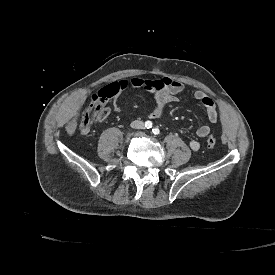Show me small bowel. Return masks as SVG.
Listing matches in <instances>:
<instances>
[{
  "label": "small bowel",
  "instance_id": "obj_1",
  "mask_svg": "<svg viewBox=\"0 0 275 275\" xmlns=\"http://www.w3.org/2000/svg\"><path fill=\"white\" fill-rule=\"evenodd\" d=\"M113 84L119 85L121 88L120 91L123 90L128 85H130L132 88H136V89L141 88L150 92L153 95L154 101H155V104L150 112V116L153 118L160 117L163 114L165 106L167 104L177 102L179 99L178 95L184 90V85L181 82L170 79L168 77H164L158 81L142 80L139 78H134L129 83L125 80H122L119 82L108 84L104 86L98 92V94L106 91ZM97 95L94 96V99L97 97ZM193 97L197 101H199L205 108L208 121L210 123H216L219 118V113H218V108L214 99L209 95H207L202 90L194 91ZM113 109L115 111H120V106L116 100H114L113 102ZM81 124H82V118L80 121V130H81ZM81 132L83 134H87L89 132V129L87 131L81 130ZM210 132H211V128L207 124L199 126L198 129L196 130V134L200 138L207 137L210 134ZM190 146L196 150L199 148V143L196 140H192L190 141Z\"/></svg>",
  "mask_w": 275,
  "mask_h": 275
}]
</instances>
